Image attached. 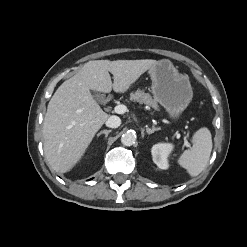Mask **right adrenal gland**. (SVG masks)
I'll return each mask as SVG.
<instances>
[{"label": "right adrenal gland", "instance_id": "2a0ac1e0", "mask_svg": "<svg viewBox=\"0 0 247 247\" xmlns=\"http://www.w3.org/2000/svg\"><path fill=\"white\" fill-rule=\"evenodd\" d=\"M111 132V130H103V131H100L98 134H97V138H99L102 134H105V139L108 137V134Z\"/></svg>", "mask_w": 247, "mask_h": 247}]
</instances>
